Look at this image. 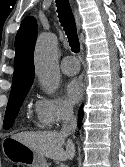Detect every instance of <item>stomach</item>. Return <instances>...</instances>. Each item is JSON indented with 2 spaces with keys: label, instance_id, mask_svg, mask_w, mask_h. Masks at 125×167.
Wrapping results in <instances>:
<instances>
[{
  "label": "stomach",
  "instance_id": "0dacf381",
  "mask_svg": "<svg viewBox=\"0 0 125 167\" xmlns=\"http://www.w3.org/2000/svg\"><path fill=\"white\" fill-rule=\"evenodd\" d=\"M3 152L15 165L23 163L29 167H48L44 156L16 139H6Z\"/></svg>",
  "mask_w": 125,
  "mask_h": 167
}]
</instances>
